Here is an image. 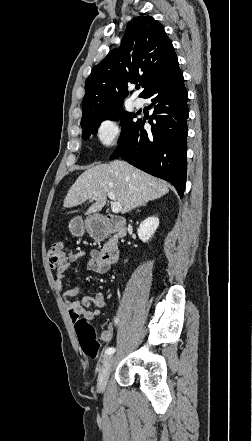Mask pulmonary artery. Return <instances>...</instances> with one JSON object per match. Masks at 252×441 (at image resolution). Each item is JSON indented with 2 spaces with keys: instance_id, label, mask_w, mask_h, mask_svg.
I'll list each match as a JSON object with an SVG mask.
<instances>
[{
  "instance_id": "pulmonary-artery-1",
  "label": "pulmonary artery",
  "mask_w": 252,
  "mask_h": 441,
  "mask_svg": "<svg viewBox=\"0 0 252 441\" xmlns=\"http://www.w3.org/2000/svg\"><path fill=\"white\" fill-rule=\"evenodd\" d=\"M133 104L137 109H140L143 107V100L140 98H136L134 99Z\"/></svg>"
}]
</instances>
